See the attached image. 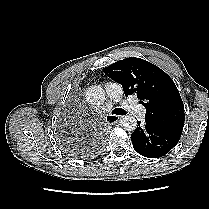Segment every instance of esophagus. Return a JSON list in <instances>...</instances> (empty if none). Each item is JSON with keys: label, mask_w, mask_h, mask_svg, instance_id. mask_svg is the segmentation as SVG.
<instances>
[{"label": "esophagus", "mask_w": 209, "mask_h": 209, "mask_svg": "<svg viewBox=\"0 0 209 209\" xmlns=\"http://www.w3.org/2000/svg\"><path fill=\"white\" fill-rule=\"evenodd\" d=\"M108 119H106L107 123H117L119 121V119H121L120 116L117 115H108L107 116Z\"/></svg>", "instance_id": "34e87169"}]
</instances>
